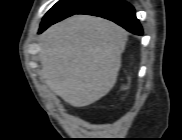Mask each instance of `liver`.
<instances>
[{
    "label": "liver",
    "mask_w": 182,
    "mask_h": 140,
    "mask_svg": "<svg viewBox=\"0 0 182 140\" xmlns=\"http://www.w3.org/2000/svg\"><path fill=\"white\" fill-rule=\"evenodd\" d=\"M127 32L115 23L74 15L39 38L40 79L66 103L91 105L114 86Z\"/></svg>",
    "instance_id": "obj_1"
}]
</instances>
